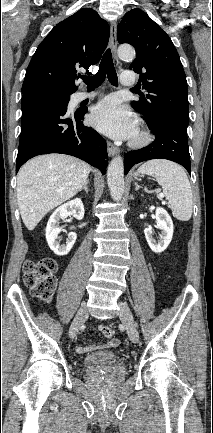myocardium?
I'll return each instance as SVG.
<instances>
[{
  "mask_svg": "<svg viewBox=\"0 0 213 433\" xmlns=\"http://www.w3.org/2000/svg\"><path fill=\"white\" fill-rule=\"evenodd\" d=\"M151 141H152L151 133L145 128L139 127L136 129L129 144L131 147L141 148L148 145Z\"/></svg>",
  "mask_w": 213,
  "mask_h": 433,
  "instance_id": "1",
  "label": "myocardium"
}]
</instances>
